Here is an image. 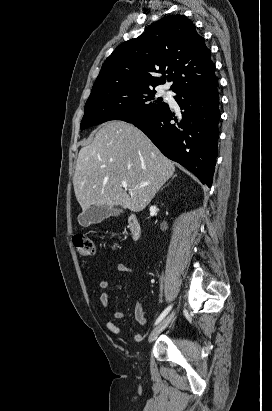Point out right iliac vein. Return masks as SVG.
Listing matches in <instances>:
<instances>
[{
    "label": "right iliac vein",
    "mask_w": 272,
    "mask_h": 411,
    "mask_svg": "<svg viewBox=\"0 0 272 411\" xmlns=\"http://www.w3.org/2000/svg\"><path fill=\"white\" fill-rule=\"evenodd\" d=\"M174 315L175 311L171 312L158 326L152 330L148 338L149 342L154 341L155 338L170 324Z\"/></svg>",
    "instance_id": "obj_1"
}]
</instances>
